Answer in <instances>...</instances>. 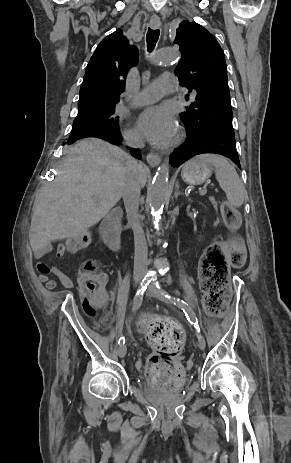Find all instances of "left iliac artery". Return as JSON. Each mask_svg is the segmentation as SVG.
<instances>
[{
    "label": "left iliac artery",
    "mask_w": 291,
    "mask_h": 463,
    "mask_svg": "<svg viewBox=\"0 0 291 463\" xmlns=\"http://www.w3.org/2000/svg\"><path fill=\"white\" fill-rule=\"evenodd\" d=\"M152 280L155 281V285L157 286V288H159L158 282H156V278H152ZM165 297L170 299L174 304H177L183 310V312L185 313L188 321L191 324L194 325V327L197 329L198 332H200L198 319H197L195 313L188 306V304L184 300L173 297V296H170L168 294H165Z\"/></svg>",
    "instance_id": "44dca946"
}]
</instances>
